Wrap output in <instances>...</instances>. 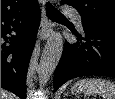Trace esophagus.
Listing matches in <instances>:
<instances>
[{
    "label": "esophagus",
    "mask_w": 115,
    "mask_h": 99,
    "mask_svg": "<svg viewBox=\"0 0 115 99\" xmlns=\"http://www.w3.org/2000/svg\"><path fill=\"white\" fill-rule=\"evenodd\" d=\"M40 3L44 5L45 0H40ZM51 22L48 20L45 14H43L41 23H40V29L38 32L39 39H46L51 32Z\"/></svg>",
    "instance_id": "esophagus-1"
}]
</instances>
